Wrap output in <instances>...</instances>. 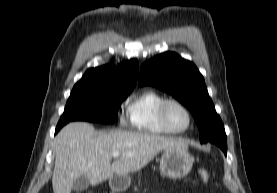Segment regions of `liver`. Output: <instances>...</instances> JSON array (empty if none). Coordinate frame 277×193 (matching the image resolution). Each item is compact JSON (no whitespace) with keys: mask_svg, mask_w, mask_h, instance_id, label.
<instances>
[{"mask_svg":"<svg viewBox=\"0 0 277 193\" xmlns=\"http://www.w3.org/2000/svg\"><path fill=\"white\" fill-rule=\"evenodd\" d=\"M174 147L187 148V144L173 137L121 130L96 132L89 123H70L55 138L53 192L71 193L80 176L97 185L114 175H128L143 168L160 151ZM114 152L121 155L111 164Z\"/></svg>","mask_w":277,"mask_h":193,"instance_id":"liver-1","label":"liver"}]
</instances>
